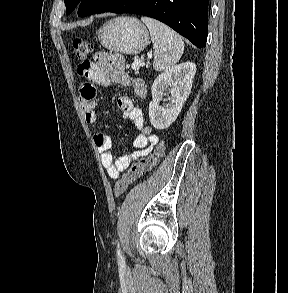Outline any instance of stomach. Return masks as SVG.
Listing matches in <instances>:
<instances>
[{
    "label": "stomach",
    "instance_id": "obj_1",
    "mask_svg": "<svg viewBox=\"0 0 288 293\" xmlns=\"http://www.w3.org/2000/svg\"><path fill=\"white\" fill-rule=\"evenodd\" d=\"M97 36L106 49L129 55L140 53L149 42L147 28L134 17H116L106 22Z\"/></svg>",
    "mask_w": 288,
    "mask_h": 293
}]
</instances>
